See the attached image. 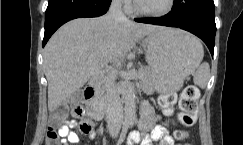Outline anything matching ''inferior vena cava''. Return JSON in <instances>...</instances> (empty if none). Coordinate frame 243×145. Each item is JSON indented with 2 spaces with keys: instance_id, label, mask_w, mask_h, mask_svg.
<instances>
[{
  "instance_id": "1",
  "label": "inferior vena cava",
  "mask_w": 243,
  "mask_h": 145,
  "mask_svg": "<svg viewBox=\"0 0 243 145\" xmlns=\"http://www.w3.org/2000/svg\"><path fill=\"white\" fill-rule=\"evenodd\" d=\"M108 17L115 21H127V17L124 15L122 11V1L121 0H113L108 12ZM106 90H107V101H106V113L107 116H122L123 115V107L120 103L114 83V77L112 72H109L106 79Z\"/></svg>"
}]
</instances>
